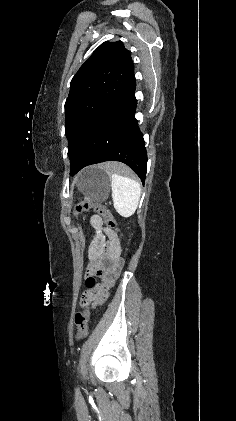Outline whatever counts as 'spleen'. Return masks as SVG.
<instances>
[{
    "label": "spleen",
    "instance_id": "3e777b00",
    "mask_svg": "<svg viewBox=\"0 0 236 421\" xmlns=\"http://www.w3.org/2000/svg\"><path fill=\"white\" fill-rule=\"evenodd\" d=\"M111 188L114 208L121 217L134 215L141 196V184L117 172L111 174Z\"/></svg>",
    "mask_w": 236,
    "mask_h": 421
}]
</instances>
